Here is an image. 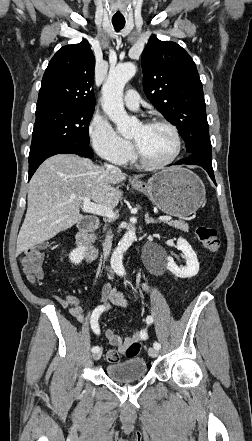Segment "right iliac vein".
Masks as SVG:
<instances>
[{"label":"right iliac vein","instance_id":"63e3f726","mask_svg":"<svg viewBox=\"0 0 252 441\" xmlns=\"http://www.w3.org/2000/svg\"><path fill=\"white\" fill-rule=\"evenodd\" d=\"M101 355H102L101 351H98V352L94 353L93 354V360H95V361L99 360Z\"/></svg>","mask_w":252,"mask_h":441}]
</instances>
